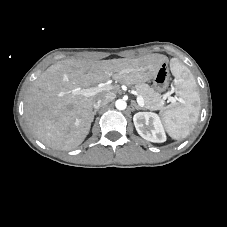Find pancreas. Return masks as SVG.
Masks as SVG:
<instances>
[{"mask_svg": "<svg viewBox=\"0 0 227 227\" xmlns=\"http://www.w3.org/2000/svg\"><path fill=\"white\" fill-rule=\"evenodd\" d=\"M135 89L144 99V108L148 110H163L164 97L148 84L137 83Z\"/></svg>", "mask_w": 227, "mask_h": 227, "instance_id": "obj_1", "label": "pancreas"}]
</instances>
